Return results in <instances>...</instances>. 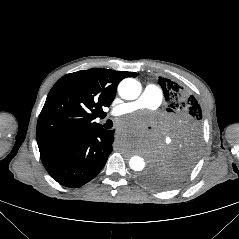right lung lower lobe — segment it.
Masks as SVG:
<instances>
[{
	"mask_svg": "<svg viewBox=\"0 0 239 239\" xmlns=\"http://www.w3.org/2000/svg\"><path fill=\"white\" fill-rule=\"evenodd\" d=\"M115 130L101 127L75 140L40 152L51 177L63 186L76 188L92 180L112 152Z\"/></svg>",
	"mask_w": 239,
	"mask_h": 239,
	"instance_id": "98d812e1",
	"label": "right lung lower lobe"
}]
</instances>
